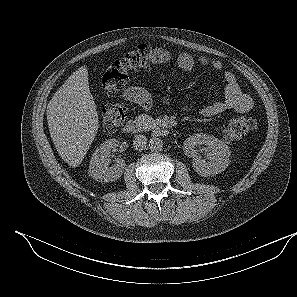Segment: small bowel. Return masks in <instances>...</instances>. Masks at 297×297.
<instances>
[{
	"mask_svg": "<svg viewBox=\"0 0 297 297\" xmlns=\"http://www.w3.org/2000/svg\"><path fill=\"white\" fill-rule=\"evenodd\" d=\"M150 59L154 64L175 62L178 67L185 72L193 70L197 62L215 70L223 69V63L218 59L201 57L196 61L187 53H174L168 49L160 47L151 50ZM223 78L225 81L223 99L200 109L199 113L202 116L212 117L227 110H234L238 113H246L251 110L253 105L252 98L241 90L235 75L230 71H225ZM124 97L128 101L140 105L144 110H149L152 106V97L150 93L138 86L126 87L124 90ZM181 110L184 112L192 111L189 107H183Z\"/></svg>",
	"mask_w": 297,
	"mask_h": 297,
	"instance_id": "1",
	"label": "small bowel"
}]
</instances>
